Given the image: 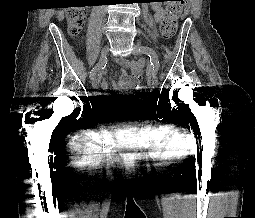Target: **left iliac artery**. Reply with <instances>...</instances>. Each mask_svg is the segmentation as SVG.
<instances>
[{
  "label": "left iliac artery",
  "mask_w": 255,
  "mask_h": 218,
  "mask_svg": "<svg viewBox=\"0 0 255 218\" xmlns=\"http://www.w3.org/2000/svg\"><path fill=\"white\" fill-rule=\"evenodd\" d=\"M141 52L146 54L150 58V63L153 68V73L156 74L159 70V59L155 50L147 46H142Z\"/></svg>",
  "instance_id": "obj_1"
}]
</instances>
